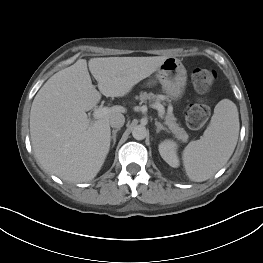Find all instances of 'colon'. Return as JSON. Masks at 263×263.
<instances>
[{"mask_svg": "<svg viewBox=\"0 0 263 263\" xmlns=\"http://www.w3.org/2000/svg\"><path fill=\"white\" fill-rule=\"evenodd\" d=\"M216 79V73L210 69L198 68L192 73L195 89L200 93L207 92ZM209 108L204 104H191L186 111V121L191 128H200L207 120Z\"/></svg>", "mask_w": 263, "mask_h": 263, "instance_id": "5ec220e1", "label": "colon"}]
</instances>
